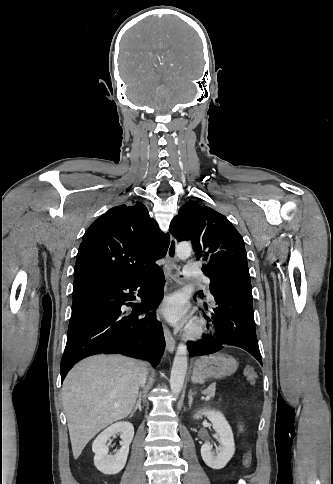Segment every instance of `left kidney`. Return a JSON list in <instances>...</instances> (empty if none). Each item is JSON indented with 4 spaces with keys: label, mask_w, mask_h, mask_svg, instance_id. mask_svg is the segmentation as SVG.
<instances>
[{
    "label": "left kidney",
    "mask_w": 333,
    "mask_h": 484,
    "mask_svg": "<svg viewBox=\"0 0 333 484\" xmlns=\"http://www.w3.org/2000/svg\"><path fill=\"white\" fill-rule=\"evenodd\" d=\"M202 415L206 416L213 425V429L219 436L220 447L215 453L211 449L209 443H205L201 447V456L203 461L212 469L224 468L235 453V443L233 432L227 420L220 411L202 409L194 416L199 419Z\"/></svg>",
    "instance_id": "1"
}]
</instances>
